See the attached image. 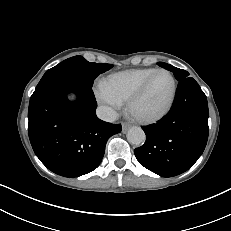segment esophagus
Returning a JSON list of instances; mask_svg holds the SVG:
<instances>
[{"label": "esophagus", "mask_w": 231, "mask_h": 231, "mask_svg": "<svg viewBox=\"0 0 231 231\" xmlns=\"http://www.w3.org/2000/svg\"><path fill=\"white\" fill-rule=\"evenodd\" d=\"M129 124H127V123H123L122 124V131H123V133H125L128 129H129Z\"/></svg>", "instance_id": "34e87169"}]
</instances>
